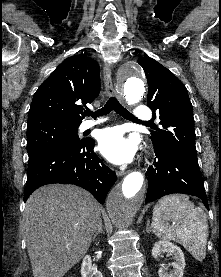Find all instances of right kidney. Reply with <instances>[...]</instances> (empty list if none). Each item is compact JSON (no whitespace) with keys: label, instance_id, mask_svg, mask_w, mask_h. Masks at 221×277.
I'll use <instances>...</instances> for the list:
<instances>
[{"label":"right kidney","instance_id":"ca27d5eb","mask_svg":"<svg viewBox=\"0 0 221 277\" xmlns=\"http://www.w3.org/2000/svg\"><path fill=\"white\" fill-rule=\"evenodd\" d=\"M82 277H103L102 273L92 266L91 257L86 255L81 265Z\"/></svg>","mask_w":221,"mask_h":277}]
</instances>
